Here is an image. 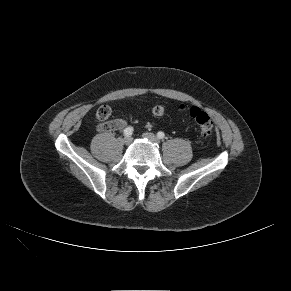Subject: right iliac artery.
I'll use <instances>...</instances> for the list:
<instances>
[{"mask_svg": "<svg viewBox=\"0 0 291 291\" xmlns=\"http://www.w3.org/2000/svg\"><path fill=\"white\" fill-rule=\"evenodd\" d=\"M133 127H131V126H129V127H127V128H125L124 129V135L126 136V137H129V136H131L132 135V133H133Z\"/></svg>", "mask_w": 291, "mask_h": 291, "instance_id": "right-iliac-artery-1", "label": "right iliac artery"}]
</instances>
